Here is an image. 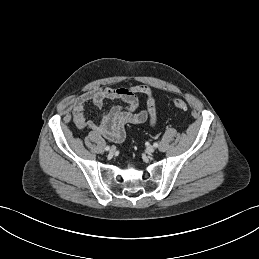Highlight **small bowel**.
<instances>
[{
    "instance_id": "1",
    "label": "small bowel",
    "mask_w": 259,
    "mask_h": 259,
    "mask_svg": "<svg viewBox=\"0 0 259 259\" xmlns=\"http://www.w3.org/2000/svg\"><path fill=\"white\" fill-rule=\"evenodd\" d=\"M147 98L146 109L139 111V97ZM121 100L125 106L111 105L101 114L100 121L87 119L85 107L92 103L103 108L106 101ZM72 118L80 130L90 129L108 141L121 143L126 138V127L156 122L153 92L148 86L107 87L88 91L71 101Z\"/></svg>"
}]
</instances>
